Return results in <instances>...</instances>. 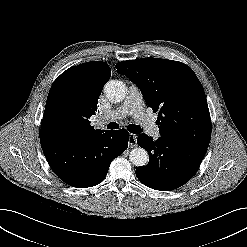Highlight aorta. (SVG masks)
<instances>
[{
	"mask_svg": "<svg viewBox=\"0 0 247 247\" xmlns=\"http://www.w3.org/2000/svg\"><path fill=\"white\" fill-rule=\"evenodd\" d=\"M126 91L125 84L120 80H110L104 87V93L108 100L115 103L125 99ZM129 159L133 165L142 167L148 163L149 156L145 149L136 147L130 152Z\"/></svg>",
	"mask_w": 247,
	"mask_h": 247,
	"instance_id": "obj_1",
	"label": "aorta"
}]
</instances>
